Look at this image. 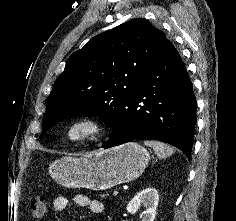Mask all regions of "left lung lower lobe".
Returning a JSON list of instances; mask_svg holds the SVG:
<instances>
[{
  "label": "left lung lower lobe",
  "instance_id": "1",
  "mask_svg": "<svg viewBox=\"0 0 236 221\" xmlns=\"http://www.w3.org/2000/svg\"><path fill=\"white\" fill-rule=\"evenodd\" d=\"M195 113L192 82L178 51L166 39L160 52L139 78L103 148L150 138L177 147L189 159Z\"/></svg>",
  "mask_w": 236,
  "mask_h": 221
}]
</instances>
